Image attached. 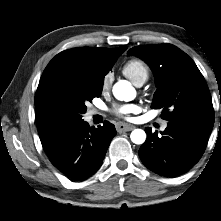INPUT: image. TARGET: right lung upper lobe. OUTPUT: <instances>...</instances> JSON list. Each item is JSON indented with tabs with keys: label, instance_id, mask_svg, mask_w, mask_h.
<instances>
[{
	"label": "right lung upper lobe",
	"instance_id": "1",
	"mask_svg": "<svg viewBox=\"0 0 221 221\" xmlns=\"http://www.w3.org/2000/svg\"><path fill=\"white\" fill-rule=\"evenodd\" d=\"M126 49L127 46H121L118 48L83 47L62 51L49 62L42 74L40 81H43L44 79L59 72L74 69L79 66H86L90 69L97 70L101 73H106L107 71H109V69L113 67L117 58ZM38 122L39 119L37 115L36 123L38 133L41 139L43 149L46 152L59 139L61 134H49Z\"/></svg>",
	"mask_w": 221,
	"mask_h": 221
}]
</instances>
